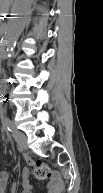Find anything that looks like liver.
Instances as JSON below:
<instances>
[{"label": "liver", "instance_id": "6515ba94", "mask_svg": "<svg viewBox=\"0 0 103 193\" xmlns=\"http://www.w3.org/2000/svg\"><path fill=\"white\" fill-rule=\"evenodd\" d=\"M11 2L12 0H0V11L2 13L7 12Z\"/></svg>", "mask_w": 103, "mask_h": 193}]
</instances>
